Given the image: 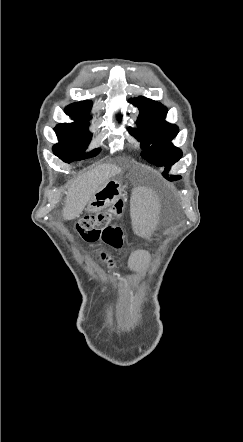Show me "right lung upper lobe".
<instances>
[{"mask_svg": "<svg viewBox=\"0 0 243 442\" xmlns=\"http://www.w3.org/2000/svg\"><path fill=\"white\" fill-rule=\"evenodd\" d=\"M91 107H92L91 101L77 102L67 106L65 108V112L73 117L90 119V117H87V115L89 114Z\"/></svg>", "mask_w": 243, "mask_h": 442, "instance_id": "obj_1", "label": "right lung upper lobe"}]
</instances>
